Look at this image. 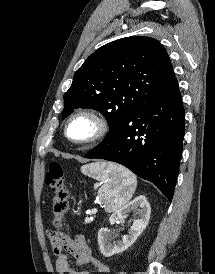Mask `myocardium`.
I'll return each instance as SVG.
<instances>
[{
	"instance_id": "obj_1",
	"label": "myocardium",
	"mask_w": 215,
	"mask_h": 274,
	"mask_svg": "<svg viewBox=\"0 0 215 274\" xmlns=\"http://www.w3.org/2000/svg\"><path fill=\"white\" fill-rule=\"evenodd\" d=\"M79 117H85L90 119L93 122L95 127L93 134L84 140H74L68 135V127L70 123ZM109 130H110L109 122L103 115L91 109H81L72 113L66 119L64 123L63 131H64L65 138L70 143L77 146H89L103 139L108 134Z\"/></svg>"
}]
</instances>
